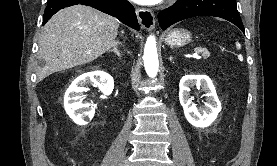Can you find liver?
I'll return each instance as SVG.
<instances>
[{
    "mask_svg": "<svg viewBox=\"0 0 277 166\" xmlns=\"http://www.w3.org/2000/svg\"><path fill=\"white\" fill-rule=\"evenodd\" d=\"M118 27L115 18L89 6L60 10L40 35L38 59L45 65L37 71L38 81L102 56L115 45Z\"/></svg>",
    "mask_w": 277,
    "mask_h": 166,
    "instance_id": "liver-1",
    "label": "liver"
}]
</instances>
